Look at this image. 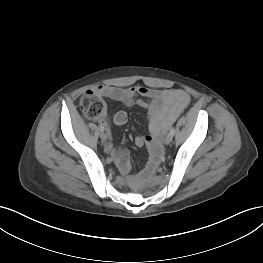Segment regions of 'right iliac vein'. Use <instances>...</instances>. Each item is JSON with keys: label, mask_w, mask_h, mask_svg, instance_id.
<instances>
[{"label": "right iliac vein", "mask_w": 263, "mask_h": 263, "mask_svg": "<svg viewBox=\"0 0 263 263\" xmlns=\"http://www.w3.org/2000/svg\"><path fill=\"white\" fill-rule=\"evenodd\" d=\"M100 138H101L102 141H106L107 135L104 132H101L100 133Z\"/></svg>", "instance_id": "obj_1"}]
</instances>
